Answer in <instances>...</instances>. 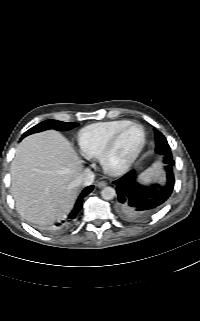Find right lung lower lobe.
Here are the masks:
<instances>
[{
	"label": "right lung lower lobe",
	"mask_w": 200,
	"mask_h": 321,
	"mask_svg": "<svg viewBox=\"0 0 200 321\" xmlns=\"http://www.w3.org/2000/svg\"><path fill=\"white\" fill-rule=\"evenodd\" d=\"M93 190V185L86 187L81 194L79 195L72 211L69 213L67 219L65 221H62L61 223L57 224V230H62L67 228L69 225H71L76 217L78 216L79 211L82 208V200L83 198L88 195Z\"/></svg>",
	"instance_id": "1"
}]
</instances>
